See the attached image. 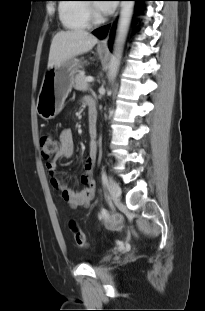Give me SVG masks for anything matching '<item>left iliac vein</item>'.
Segmentation results:
<instances>
[{
  "instance_id": "4c4485c4",
  "label": "left iliac vein",
  "mask_w": 205,
  "mask_h": 311,
  "mask_svg": "<svg viewBox=\"0 0 205 311\" xmlns=\"http://www.w3.org/2000/svg\"><path fill=\"white\" fill-rule=\"evenodd\" d=\"M109 191H110V195H111V198L114 202H118L120 200V196H121V188L120 186L111 181L110 182V185H109Z\"/></svg>"
}]
</instances>
